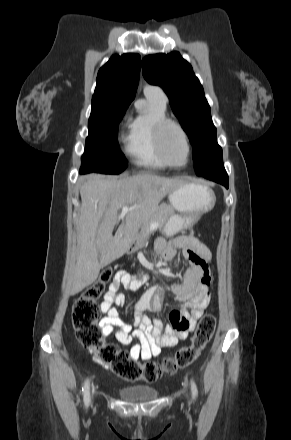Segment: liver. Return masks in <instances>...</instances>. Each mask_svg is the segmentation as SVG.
<instances>
[{
    "instance_id": "liver-1",
    "label": "liver",
    "mask_w": 291,
    "mask_h": 440,
    "mask_svg": "<svg viewBox=\"0 0 291 440\" xmlns=\"http://www.w3.org/2000/svg\"><path fill=\"white\" fill-rule=\"evenodd\" d=\"M183 182L148 172L120 179L89 175L80 187L78 258L71 294L92 284L102 268L121 257L160 201ZM124 206L134 209L125 214L113 236L118 211Z\"/></svg>"
}]
</instances>
